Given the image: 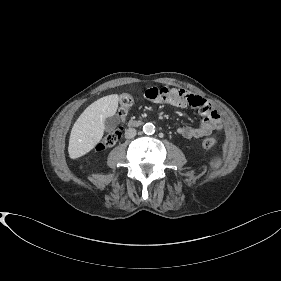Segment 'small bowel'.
Instances as JSON below:
<instances>
[{"label":"small bowel","instance_id":"c3829d8e","mask_svg":"<svg viewBox=\"0 0 281 281\" xmlns=\"http://www.w3.org/2000/svg\"><path fill=\"white\" fill-rule=\"evenodd\" d=\"M145 97L157 104H167L178 108L193 107L200 113V124L197 127L182 126L177 133L186 138H203L214 131L222 129L220 113L203 97L184 89L149 88Z\"/></svg>","mask_w":281,"mask_h":281}]
</instances>
